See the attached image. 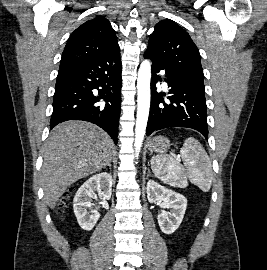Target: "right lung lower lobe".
Masks as SVG:
<instances>
[{
  "label": "right lung lower lobe",
  "mask_w": 267,
  "mask_h": 270,
  "mask_svg": "<svg viewBox=\"0 0 267 270\" xmlns=\"http://www.w3.org/2000/svg\"><path fill=\"white\" fill-rule=\"evenodd\" d=\"M121 83L120 51L60 68L50 128L68 120H84L104 129L117 143Z\"/></svg>",
  "instance_id": "1"
}]
</instances>
